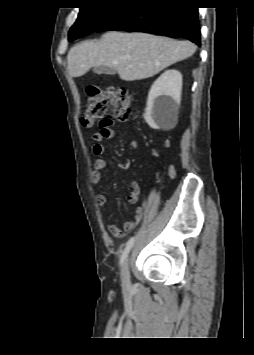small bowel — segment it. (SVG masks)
Segmentation results:
<instances>
[{
    "label": "small bowel",
    "mask_w": 254,
    "mask_h": 355,
    "mask_svg": "<svg viewBox=\"0 0 254 355\" xmlns=\"http://www.w3.org/2000/svg\"><path fill=\"white\" fill-rule=\"evenodd\" d=\"M113 125H114V121L112 119H104L101 129L93 134L94 144L92 150L93 153L97 156V159L95 161L94 171L91 173L90 179H91V183L94 185H98L101 182V178H102L101 172L107 168L106 160L102 157L104 153V146L102 142L106 139H111L114 137L115 131L113 129ZM136 146H137L136 141H131L130 148L135 149ZM171 172L175 173V169L173 166H170L169 168V174ZM139 194H140V186L138 182L136 181L131 182L129 185V195L127 197L128 203L136 204L139 200ZM98 202L103 209H106L107 197L104 194L98 195ZM143 212L144 210L142 208H138L135 212L134 219L124 223L122 227H119L114 224H107L108 231L114 237L122 238L125 234L129 233L136 227L137 222L143 215Z\"/></svg>",
    "instance_id": "obj_1"
}]
</instances>
